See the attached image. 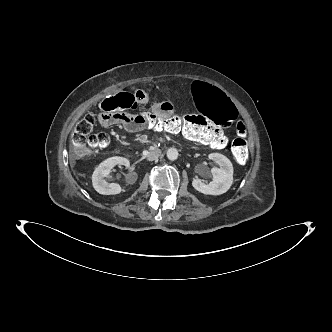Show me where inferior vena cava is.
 I'll return each mask as SVG.
<instances>
[{
	"label": "inferior vena cava",
	"instance_id": "602c4592",
	"mask_svg": "<svg viewBox=\"0 0 332 332\" xmlns=\"http://www.w3.org/2000/svg\"><path fill=\"white\" fill-rule=\"evenodd\" d=\"M160 154H161V151L159 149L156 150V151H152V152H150V154H148L147 160L148 161H154V160L158 159Z\"/></svg>",
	"mask_w": 332,
	"mask_h": 332
}]
</instances>
